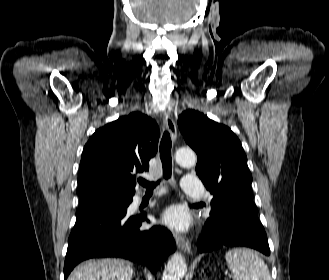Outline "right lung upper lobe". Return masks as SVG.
I'll return each instance as SVG.
<instances>
[{"label": "right lung upper lobe", "mask_w": 329, "mask_h": 280, "mask_svg": "<svg viewBox=\"0 0 329 280\" xmlns=\"http://www.w3.org/2000/svg\"><path fill=\"white\" fill-rule=\"evenodd\" d=\"M158 140L156 122L140 112L122 116L96 130L82 153L79 200L132 197L135 173L148 171Z\"/></svg>", "instance_id": "obj_1"}]
</instances>
